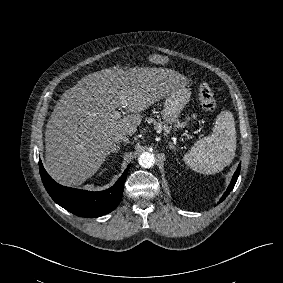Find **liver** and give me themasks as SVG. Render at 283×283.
I'll return each instance as SVG.
<instances>
[{"label":"liver","mask_w":283,"mask_h":283,"mask_svg":"<svg viewBox=\"0 0 283 283\" xmlns=\"http://www.w3.org/2000/svg\"><path fill=\"white\" fill-rule=\"evenodd\" d=\"M185 77L155 67L103 69L83 77L61 96L45 132V168L56 181L80 185L101 167L118 134L132 136L140 112L166 97ZM122 107L132 114L113 118Z\"/></svg>","instance_id":"1"}]
</instances>
